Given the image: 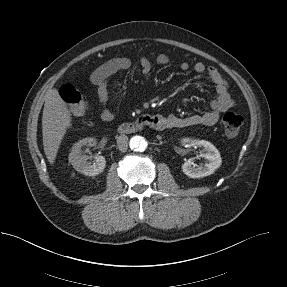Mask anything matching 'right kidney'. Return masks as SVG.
<instances>
[{"label":"right kidney","mask_w":287,"mask_h":287,"mask_svg":"<svg viewBox=\"0 0 287 287\" xmlns=\"http://www.w3.org/2000/svg\"><path fill=\"white\" fill-rule=\"evenodd\" d=\"M96 140L94 138H85L75 143L69 154V162L73 168L87 176H95L103 172L106 166V160L103 156H95L94 161L88 162V156L82 155L81 149L85 145H94Z\"/></svg>","instance_id":"obj_1"}]
</instances>
